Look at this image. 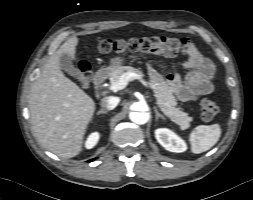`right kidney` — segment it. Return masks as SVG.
<instances>
[{"instance_id":"obj_1","label":"right kidney","mask_w":253,"mask_h":200,"mask_svg":"<svg viewBox=\"0 0 253 200\" xmlns=\"http://www.w3.org/2000/svg\"><path fill=\"white\" fill-rule=\"evenodd\" d=\"M100 135L98 132H92L85 141V148L92 149L98 142Z\"/></svg>"}]
</instances>
